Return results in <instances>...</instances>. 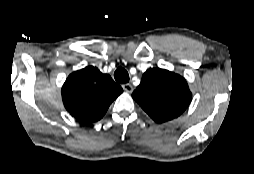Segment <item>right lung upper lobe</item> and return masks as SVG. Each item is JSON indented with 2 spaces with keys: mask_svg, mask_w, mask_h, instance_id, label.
Returning <instances> with one entry per match:
<instances>
[{
  "mask_svg": "<svg viewBox=\"0 0 254 174\" xmlns=\"http://www.w3.org/2000/svg\"><path fill=\"white\" fill-rule=\"evenodd\" d=\"M123 92L108 74L89 66L73 72L62 87L66 110L83 123L100 120L110 104Z\"/></svg>",
  "mask_w": 254,
  "mask_h": 174,
  "instance_id": "cb5924a9",
  "label": "right lung upper lobe"
}]
</instances>
